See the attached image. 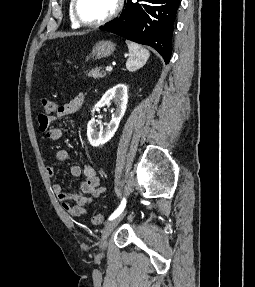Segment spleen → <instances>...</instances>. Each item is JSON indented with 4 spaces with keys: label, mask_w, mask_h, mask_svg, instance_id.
Instances as JSON below:
<instances>
[{
    "label": "spleen",
    "mask_w": 255,
    "mask_h": 287,
    "mask_svg": "<svg viewBox=\"0 0 255 287\" xmlns=\"http://www.w3.org/2000/svg\"><path fill=\"white\" fill-rule=\"evenodd\" d=\"M126 44L129 50V58L126 62L127 70H138L146 64L150 54L148 50L139 46V44H134V42H129L126 40Z\"/></svg>",
    "instance_id": "1"
}]
</instances>
